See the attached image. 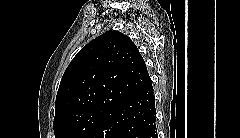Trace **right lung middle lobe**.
<instances>
[{"label":"right lung middle lobe","instance_id":"dd1d6c3e","mask_svg":"<svg viewBox=\"0 0 240 138\" xmlns=\"http://www.w3.org/2000/svg\"><path fill=\"white\" fill-rule=\"evenodd\" d=\"M106 112L98 108L85 109L54 120L55 138H87Z\"/></svg>","mask_w":240,"mask_h":138}]
</instances>
